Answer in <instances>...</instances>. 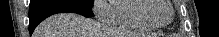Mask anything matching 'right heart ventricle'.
Masks as SVG:
<instances>
[{"label":"right heart ventricle","instance_id":"right-heart-ventricle-1","mask_svg":"<svg viewBox=\"0 0 219 37\" xmlns=\"http://www.w3.org/2000/svg\"><path fill=\"white\" fill-rule=\"evenodd\" d=\"M141 0H120L115 9L116 18L112 25L121 29L151 32L157 28L148 25L139 16Z\"/></svg>","mask_w":219,"mask_h":37}]
</instances>
